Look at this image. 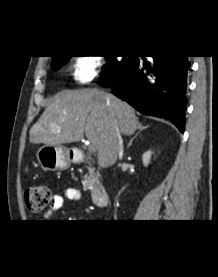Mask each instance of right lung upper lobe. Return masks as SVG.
<instances>
[{
  "label": "right lung upper lobe",
  "mask_w": 218,
  "mask_h": 277,
  "mask_svg": "<svg viewBox=\"0 0 218 277\" xmlns=\"http://www.w3.org/2000/svg\"><path fill=\"white\" fill-rule=\"evenodd\" d=\"M57 57H60V56H52V60L55 59V58H57Z\"/></svg>",
  "instance_id": "cb5924a9"
}]
</instances>
